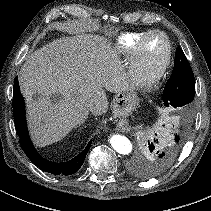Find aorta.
<instances>
[{
    "mask_svg": "<svg viewBox=\"0 0 211 211\" xmlns=\"http://www.w3.org/2000/svg\"><path fill=\"white\" fill-rule=\"evenodd\" d=\"M113 149L122 155H127L132 151V143L125 136L115 134L110 138Z\"/></svg>",
    "mask_w": 211,
    "mask_h": 211,
    "instance_id": "1",
    "label": "aorta"
}]
</instances>
